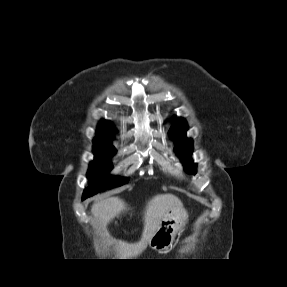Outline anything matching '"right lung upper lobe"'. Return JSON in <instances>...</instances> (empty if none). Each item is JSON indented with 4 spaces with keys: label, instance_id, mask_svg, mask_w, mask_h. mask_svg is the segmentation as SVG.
<instances>
[{
    "label": "right lung upper lobe",
    "instance_id": "obj_1",
    "mask_svg": "<svg viewBox=\"0 0 287 287\" xmlns=\"http://www.w3.org/2000/svg\"><path fill=\"white\" fill-rule=\"evenodd\" d=\"M115 132L114 126L107 120H102L98 127V137L94 139L95 143H110L113 138L112 133Z\"/></svg>",
    "mask_w": 287,
    "mask_h": 287
}]
</instances>
